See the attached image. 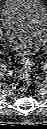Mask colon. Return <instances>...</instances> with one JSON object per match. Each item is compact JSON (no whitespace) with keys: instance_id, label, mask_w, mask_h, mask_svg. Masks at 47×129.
<instances>
[{"instance_id":"obj_1","label":"colon","mask_w":47,"mask_h":129,"mask_svg":"<svg viewBox=\"0 0 47 129\" xmlns=\"http://www.w3.org/2000/svg\"><path fill=\"white\" fill-rule=\"evenodd\" d=\"M31 84V60L23 57L22 67L13 79V87L17 91H26Z\"/></svg>"}]
</instances>
